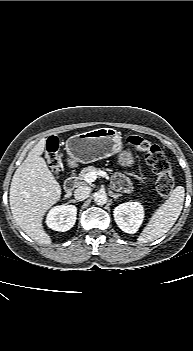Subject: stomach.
<instances>
[{"label": "stomach", "instance_id": "0dacf381", "mask_svg": "<svg viewBox=\"0 0 193 351\" xmlns=\"http://www.w3.org/2000/svg\"><path fill=\"white\" fill-rule=\"evenodd\" d=\"M66 151L72 162L88 164L118 154L121 167H132L135 158L130 150H123L122 137L113 128H98L71 136Z\"/></svg>", "mask_w": 193, "mask_h": 351}]
</instances>
